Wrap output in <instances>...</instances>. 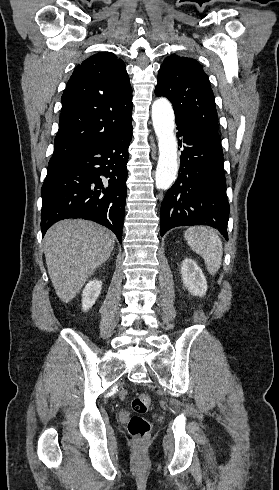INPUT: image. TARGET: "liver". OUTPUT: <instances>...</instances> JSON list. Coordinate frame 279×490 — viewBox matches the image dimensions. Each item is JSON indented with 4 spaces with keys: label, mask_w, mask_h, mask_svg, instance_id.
I'll return each instance as SVG.
<instances>
[{
    "label": "liver",
    "mask_w": 279,
    "mask_h": 490,
    "mask_svg": "<svg viewBox=\"0 0 279 490\" xmlns=\"http://www.w3.org/2000/svg\"><path fill=\"white\" fill-rule=\"evenodd\" d=\"M115 236L89 220H62L48 230L44 254L52 286L68 304L94 270L111 256Z\"/></svg>",
    "instance_id": "6515ba94"
}]
</instances>
